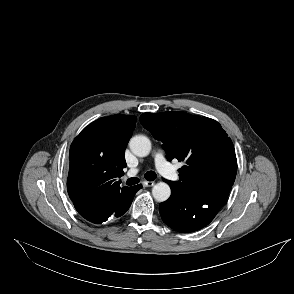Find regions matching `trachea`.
Returning <instances> with one entry per match:
<instances>
[{"label":"trachea","instance_id":"3493384b","mask_svg":"<svg viewBox=\"0 0 294 294\" xmlns=\"http://www.w3.org/2000/svg\"><path fill=\"white\" fill-rule=\"evenodd\" d=\"M145 178L148 180V181H153L156 179V173L154 171H148L146 174H145ZM139 179L138 178H129L127 181H126V184L127 185H135L137 183H139Z\"/></svg>","mask_w":294,"mask_h":294}]
</instances>
